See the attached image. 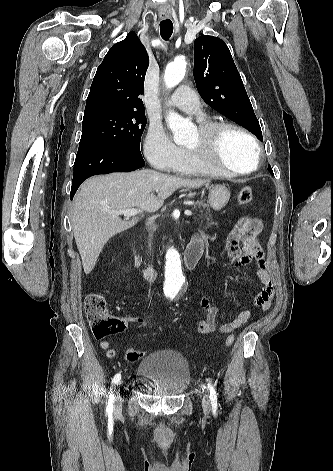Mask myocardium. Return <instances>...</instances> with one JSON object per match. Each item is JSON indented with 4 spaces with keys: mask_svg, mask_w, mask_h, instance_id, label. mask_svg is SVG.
Instances as JSON below:
<instances>
[{
    "mask_svg": "<svg viewBox=\"0 0 333 471\" xmlns=\"http://www.w3.org/2000/svg\"><path fill=\"white\" fill-rule=\"evenodd\" d=\"M224 130H234L243 134L253 145L255 150V163L253 167L247 170H234L220 164L215 157L216 142L219 134ZM199 145L195 148L187 147L188 153L192 158L211 169L218 175L224 176H243L257 170L262 159L261 146L256 137L245 127L229 121H207L198 128Z\"/></svg>",
    "mask_w": 333,
    "mask_h": 471,
    "instance_id": "1",
    "label": "myocardium"
}]
</instances>
